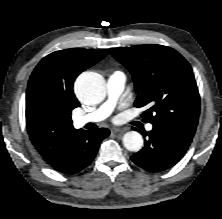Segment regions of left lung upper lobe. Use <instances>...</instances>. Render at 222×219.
<instances>
[{"mask_svg":"<svg viewBox=\"0 0 222 219\" xmlns=\"http://www.w3.org/2000/svg\"><path fill=\"white\" fill-rule=\"evenodd\" d=\"M132 74L138 94L134 105L146 106L144 120L194 135L200 96L190 64L176 50L147 44L110 49Z\"/></svg>","mask_w":222,"mask_h":219,"instance_id":"5c2ea615","label":"left lung upper lobe"}]
</instances>
